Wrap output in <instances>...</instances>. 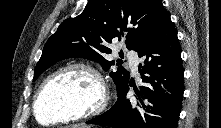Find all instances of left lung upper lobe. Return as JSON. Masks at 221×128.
<instances>
[{
    "label": "left lung upper lobe",
    "instance_id": "5c2ea615",
    "mask_svg": "<svg viewBox=\"0 0 221 128\" xmlns=\"http://www.w3.org/2000/svg\"><path fill=\"white\" fill-rule=\"evenodd\" d=\"M168 14L162 0H89L79 16L64 20L48 39L36 65L34 80L51 65L70 57L94 60L108 71L114 65L104 58L111 52L108 43L124 40L129 50L137 51ZM120 64L118 61L117 65ZM110 76L117 92L130 78L122 66Z\"/></svg>",
    "mask_w": 221,
    "mask_h": 128
}]
</instances>
